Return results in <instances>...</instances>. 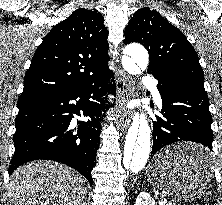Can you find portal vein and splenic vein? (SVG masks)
Here are the masks:
<instances>
[{
	"label": "portal vein and splenic vein",
	"instance_id": "obj_1",
	"mask_svg": "<svg viewBox=\"0 0 222 205\" xmlns=\"http://www.w3.org/2000/svg\"><path fill=\"white\" fill-rule=\"evenodd\" d=\"M163 194L166 196V195H168V194H166L165 192H163ZM169 196V195H168Z\"/></svg>",
	"mask_w": 222,
	"mask_h": 205
}]
</instances>
